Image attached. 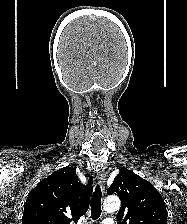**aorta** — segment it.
Masks as SVG:
<instances>
[{
	"instance_id": "762f6f07",
	"label": "aorta",
	"mask_w": 187,
	"mask_h": 224,
	"mask_svg": "<svg viewBox=\"0 0 187 224\" xmlns=\"http://www.w3.org/2000/svg\"><path fill=\"white\" fill-rule=\"evenodd\" d=\"M120 205L121 203L118 197L110 196L105 199L103 207L106 212L113 213L119 210Z\"/></svg>"
}]
</instances>
